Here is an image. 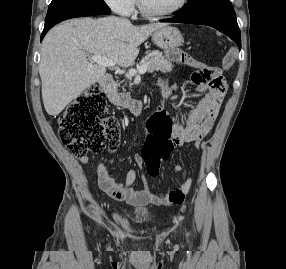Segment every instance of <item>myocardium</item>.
<instances>
[{
	"mask_svg": "<svg viewBox=\"0 0 286 269\" xmlns=\"http://www.w3.org/2000/svg\"><path fill=\"white\" fill-rule=\"evenodd\" d=\"M136 1L141 14L151 19H160L173 15L179 12L187 3V0H179V2L169 10L163 12H151L145 7L143 0H136Z\"/></svg>",
	"mask_w": 286,
	"mask_h": 269,
	"instance_id": "obj_1",
	"label": "myocardium"
}]
</instances>
